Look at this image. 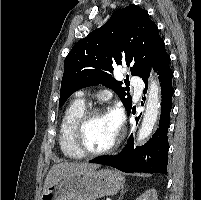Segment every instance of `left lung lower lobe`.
Masks as SVG:
<instances>
[{
	"mask_svg": "<svg viewBox=\"0 0 201 200\" xmlns=\"http://www.w3.org/2000/svg\"><path fill=\"white\" fill-rule=\"evenodd\" d=\"M170 56L165 52L154 66L162 92L161 116L159 127L152 138L143 146L134 148L133 134L130 135L126 146L115 156H102L91 160L98 163L117 168L123 172L133 173H161L167 174L169 143L167 131L170 123V111L172 108L173 72L170 69ZM147 73L142 80L146 87L148 85ZM146 93V89L144 90ZM131 110L128 112L130 114Z\"/></svg>",
	"mask_w": 201,
	"mask_h": 200,
	"instance_id": "1",
	"label": "left lung lower lobe"
}]
</instances>
